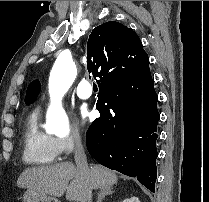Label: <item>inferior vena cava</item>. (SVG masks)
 I'll return each instance as SVG.
<instances>
[{
    "label": "inferior vena cava",
    "mask_w": 209,
    "mask_h": 202,
    "mask_svg": "<svg viewBox=\"0 0 209 202\" xmlns=\"http://www.w3.org/2000/svg\"><path fill=\"white\" fill-rule=\"evenodd\" d=\"M74 158L79 174L84 178L85 199L84 202H92L93 185L90 180V170L88 168L86 155L80 139L75 141Z\"/></svg>",
    "instance_id": "1"
}]
</instances>
